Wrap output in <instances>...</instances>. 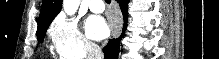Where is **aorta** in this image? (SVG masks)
<instances>
[{"mask_svg": "<svg viewBox=\"0 0 219 59\" xmlns=\"http://www.w3.org/2000/svg\"><path fill=\"white\" fill-rule=\"evenodd\" d=\"M80 0H64L63 9L67 15H73L78 10Z\"/></svg>", "mask_w": 219, "mask_h": 59, "instance_id": "obj_1", "label": "aorta"}]
</instances>
